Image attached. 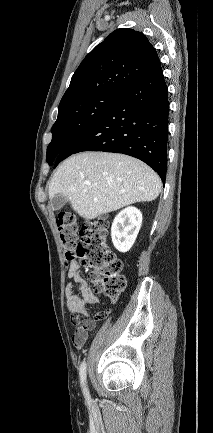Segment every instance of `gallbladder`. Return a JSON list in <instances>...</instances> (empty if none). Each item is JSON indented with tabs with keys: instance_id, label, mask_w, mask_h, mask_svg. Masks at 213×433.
I'll return each mask as SVG.
<instances>
[{
	"instance_id": "1",
	"label": "gallbladder",
	"mask_w": 213,
	"mask_h": 433,
	"mask_svg": "<svg viewBox=\"0 0 213 433\" xmlns=\"http://www.w3.org/2000/svg\"><path fill=\"white\" fill-rule=\"evenodd\" d=\"M68 202V199L62 194H56L51 199V207L53 210H60Z\"/></svg>"
}]
</instances>
